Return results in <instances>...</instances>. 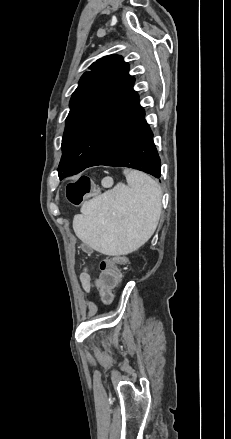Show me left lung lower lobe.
<instances>
[{
  "instance_id": "obj_1",
  "label": "left lung lower lobe",
  "mask_w": 231,
  "mask_h": 439,
  "mask_svg": "<svg viewBox=\"0 0 231 439\" xmlns=\"http://www.w3.org/2000/svg\"><path fill=\"white\" fill-rule=\"evenodd\" d=\"M139 99L105 139L87 167L123 166L138 169L159 178L160 158L153 133L146 123Z\"/></svg>"
}]
</instances>
